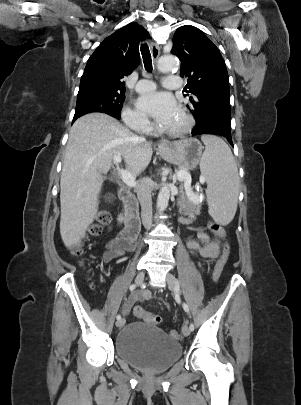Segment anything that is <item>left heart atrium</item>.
Segmentation results:
<instances>
[{
	"label": "left heart atrium",
	"instance_id": "1",
	"mask_svg": "<svg viewBox=\"0 0 301 405\" xmlns=\"http://www.w3.org/2000/svg\"><path fill=\"white\" fill-rule=\"evenodd\" d=\"M138 110L154 118L161 126H166L181 116V109L174 97L165 92H152L141 95L136 102Z\"/></svg>",
	"mask_w": 301,
	"mask_h": 405
}]
</instances>
